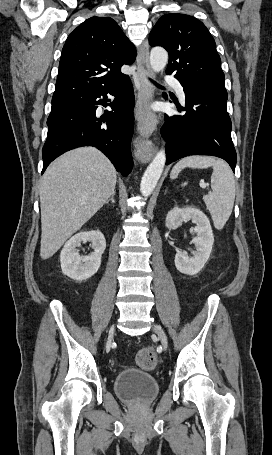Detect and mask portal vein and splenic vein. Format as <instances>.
<instances>
[{
  "instance_id": "1",
  "label": "portal vein and splenic vein",
  "mask_w": 272,
  "mask_h": 455,
  "mask_svg": "<svg viewBox=\"0 0 272 455\" xmlns=\"http://www.w3.org/2000/svg\"><path fill=\"white\" fill-rule=\"evenodd\" d=\"M200 187L206 188V184H205L203 181H201V182H200Z\"/></svg>"
}]
</instances>
